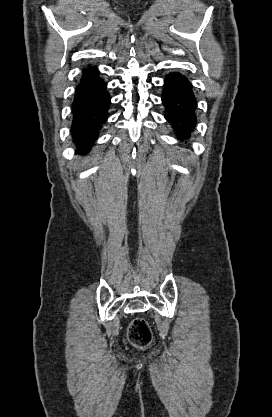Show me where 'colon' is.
I'll return each instance as SVG.
<instances>
[{
  "mask_svg": "<svg viewBox=\"0 0 272 417\" xmlns=\"http://www.w3.org/2000/svg\"><path fill=\"white\" fill-rule=\"evenodd\" d=\"M129 341L137 347H146L152 341V331L147 321L143 318H135L128 327Z\"/></svg>",
  "mask_w": 272,
  "mask_h": 417,
  "instance_id": "1",
  "label": "colon"
}]
</instances>
